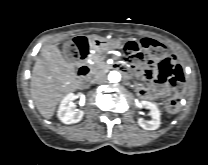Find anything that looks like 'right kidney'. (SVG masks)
<instances>
[{
    "label": "right kidney",
    "instance_id": "right-kidney-1",
    "mask_svg": "<svg viewBox=\"0 0 208 165\" xmlns=\"http://www.w3.org/2000/svg\"><path fill=\"white\" fill-rule=\"evenodd\" d=\"M74 99L75 95L73 93H69L60 103L57 116L64 124L77 123L81 121L84 115L83 111L74 108Z\"/></svg>",
    "mask_w": 208,
    "mask_h": 165
}]
</instances>
